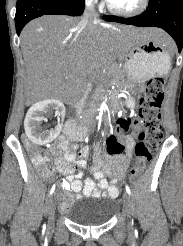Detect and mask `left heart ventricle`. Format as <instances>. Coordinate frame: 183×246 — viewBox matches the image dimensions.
<instances>
[{"instance_id":"1","label":"left heart ventricle","mask_w":183,"mask_h":246,"mask_svg":"<svg viewBox=\"0 0 183 246\" xmlns=\"http://www.w3.org/2000/svg\"><path fill=\"white\" fill-rule=\"evenodd\" d=\"M115 7L123 10L135 8L140 0H109Z\"/></svg>"}]
</instances>
